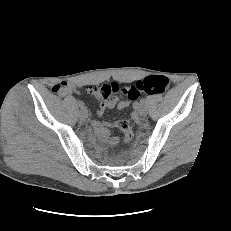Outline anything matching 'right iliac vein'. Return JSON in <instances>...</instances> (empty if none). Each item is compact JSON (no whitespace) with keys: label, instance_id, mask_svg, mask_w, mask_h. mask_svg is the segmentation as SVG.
<instances>
[{"label":"right iliac vein","instance_id":"right-iliac-vein-1","mask_svg":"<svg viewBox=\"0 0 231 231\" xmlns=\"http://www.w3.org/2000/svg\"><path fill=\"white\" fill-rule=\"evenodd\" d=\"M79 117L81 120H87L88 119V112L86 108H82L79 112Z\"/></svg>","mask_w":231,"mask_h":231}]
</instances>
